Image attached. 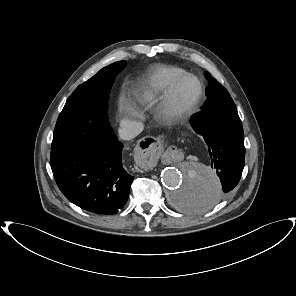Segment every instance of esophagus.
Returning a JSON list of instances; mask_svg holds the SVG:
<instances>
[{
  "instance_id": "esophagus-1",
  "label": "esophagus",
  "mask_w": 296,
  "mask_h": 296,
  "mask_svg": "<svg viewBox=\"0 0 296 296\" xmlns=\"http://www.w3.org/2000/svg\"><path fill=\"white\" fill-rule=\"evenodd\" d=\"M164 144L158 138H145L137 146L136 164L141 169H150L162 158Z\"/></svg>"
}]
</instances>
